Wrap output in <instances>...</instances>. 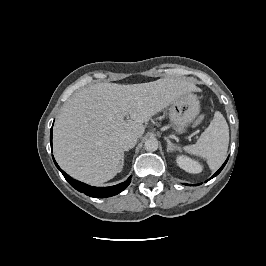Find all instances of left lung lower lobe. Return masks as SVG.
<instances>
[{"label":"left lung lower lobe","mask_w":266,"mask_h":266,"mask_svg":"<svg viewBox=\"0 0 266 266\" xmlns=\"http://www.w3.org/2000/svg\"><path fill=\"white\" fill-rule=\"evenodd\" d=\"M227 161H228V158H227V160L224 162V164L221 166V168L210 178V179H212V178H214L215 176H217L220 172H221V170L224 168V166H225V164L227 163ZM209 179V180H210ZM188 185V184H187ZM198 185V184H197Z\"/></svg>","instance_id":"1"}]
</instances>
